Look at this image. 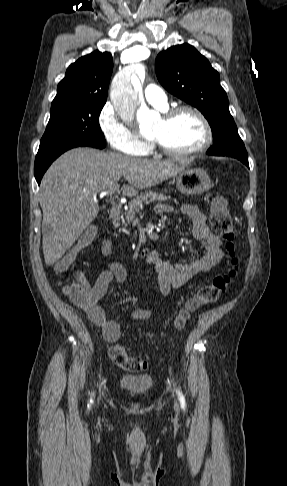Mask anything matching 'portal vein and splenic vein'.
<instances>
[{"label": "portal vein and splenic vein", "instance_id": "obj_1", "mask_svg": "<svg viewBox=\"0 0 287 486\" xmlns=\"http://www.w3.org/2000/svg\"><path fill=\"white\" fill-rule=\"evenodd\" d=\"M117 187H118V184H115V185H114L112 188H110L109 190H107V191H103V192L101 193V195H102V196H110V195H112V194H113V192H114V191L117 189Z\"/></svg>", "mask_w": 287, "mask_h": 486}]
</instances>
